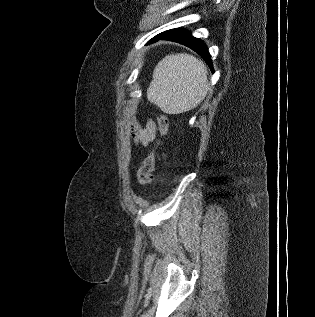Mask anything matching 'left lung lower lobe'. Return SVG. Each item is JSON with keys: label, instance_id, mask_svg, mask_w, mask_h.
<instances>
[{"label": "left lung lower lobe", "instance_id": "1", "mask_svg": "<svg viewBox=\"0 0 315 317\" xmlns=\"http://www.w3.org/2000/svg\"><path fill=\"white\" fill-rule=\"evenodd\" d=\"M159 39L177 42L191 48L207 62V64L209 65V67L211 68L213 72L212 60L210 58L208 47L205 45V43L202 40L193 37L190 32L180 28L171 29V30L165 31L162 34H158L153 39H151L150 42L157 41Z\"/></svg>", "mask_w": 315, "mask_h": 317}]
</instances>
